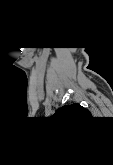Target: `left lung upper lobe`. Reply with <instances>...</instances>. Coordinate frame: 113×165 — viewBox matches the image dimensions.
<instances>
[{
  "instance_id": "5c2ea615",
  "label": "left lung upper lobe",
  "mask_w": 113,
  "mask_h": 165,
  "mask_svg": "<svg viewBox=\"0 0 113 165\" xmlns=\"http://www.w3.org/2000/svg\"><path fill=\"white\" fill-rule=\"evenodd\" d=\"M59 115H69V117L74 116H81V117H87L90 115L89 111L82 107L79 104H72V105H65L57 110L55 114Z\"/></svg>"
}]
</instances>
